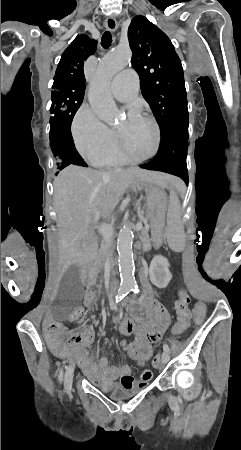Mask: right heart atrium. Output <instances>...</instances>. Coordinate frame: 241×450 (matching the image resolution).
<instances>
[{
  "mask_svg": "<svg viewBox=\"0 0 241 450\" xmlns=\"http://www.w3.org/2000/svg\"><path fill=\"white\" fill-rule=\"evenodd\" d=\"M114 136L90 106L82 104L72 120V137L77 152L84 159L100 158L112 150L107 136Z\"/></svg>",
  "mask_w": 241,
  "mask_h": 450,
  "instance_id": "obj_1",
  "label": "right heart atrium"
}]
</instances>
